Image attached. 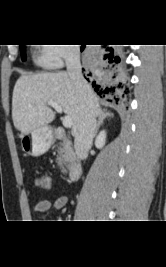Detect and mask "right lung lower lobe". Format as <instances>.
Wrapping results in <instances>:
<instances>
[{"mask_svg": "<svg viewBox=\"0 0 166 267\" xmlns=\"http://www.w3.org/2000/svg\"><path fill=\"white\" fill-rule=\"evenodd\" d=\"M84 48L85 45H81V51H83ZM105 51L107 52L104 55V59H107L106 74L97 83L96 81H93L92 85L98 95L101 97H112V99L116 100L117 102L126 94L125 85L122 82L123 73L121 70L120 58L116 56L112 47H107ZM88 75L90 77L94 76L91 71H89Z\"/></svg>", "mask_w": 166, "mask_h": 267, "instance_id": "right-lung-lower-lobe-1", "label": "right lung lower lobe"}]
</instances>
